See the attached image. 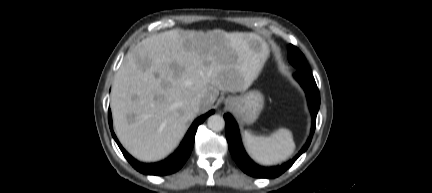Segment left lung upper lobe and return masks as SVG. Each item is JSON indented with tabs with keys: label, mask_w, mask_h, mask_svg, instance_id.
Here are the masks:
<instances>
[{
	"label": "left lung upper lobe",
	"mask_w": 432,
	"mask_h": 193,
	"mask_svg": "<svg viewBox=\"0 0 432 193\" xmlns=\"http://www.w3.org/2000/svg\"><path fill=\"white\" fill-rule=\"evenodd\" d=\"M288 60L297 69L310 71L309 65L304 55L297 47L291 44L288 46Z\"/></svg>",
	"instance_id": "obj_1"
}]
</instances>
